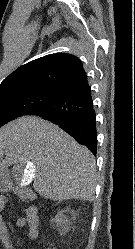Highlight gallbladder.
I'll return each mask as SVG.
<instances>
[{
    "label": "gallbladder",
    "mask_w": 135,
    "mask_h": 249,
    "mask_svg": "<svg viewBox=\"0 0 135 249\" xmlns=\"http://www.w3.org/2000/svg\"><path fill=\"white\" fill-rule=\"evenodd\" d=\"M25 168V164H20V163H17L14 165L13 169H12V174L15 175L18 173V170H20V178L21 176L23 175V170ZM2 184H6L7 182L4 181V180H0V185Z\"/></svg>",
    "instance_id": "gallbladder-1"
}]
</instances>
